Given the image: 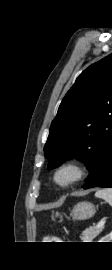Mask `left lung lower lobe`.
<instances>
[{
	"mask_svg": "<svg viewBox=\"0 0 112 270\" xmlns=\"http://www.w3.org/2000/svg\"><path fill=\"white\" fill-rule=\"evenodd\" d=\"M92 187H111L112 188V145L110 146L105 159L103 160L102 167L99 172L89 180L84 189Z\"/></svg>",
	"mask_w": 112,
	"mask_h": 270,
	"instance_id": "left-lung-lower-lobe-1",
	"label": "left lung lower lobe"
}]
</instances>
